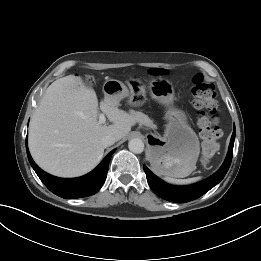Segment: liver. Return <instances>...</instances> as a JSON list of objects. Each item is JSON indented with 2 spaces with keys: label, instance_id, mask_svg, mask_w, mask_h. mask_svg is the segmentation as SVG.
Returning <instances> with one entry per match:
<instances>
[{
  "label": "liver",
  "instance_id": "obj_1",
  "mask_svg": "<svg viewBox=\"0 0 261 261\" xmlns=\"http://www.w3.org/2000/svg\"><path fill=\"white\" fill-rule=\"evenodd\" d=\"M100 109L112 125L98 121L96 93L80 77L54 81L30 121L28 144L35 162L60 177H77L94 169L104 154L101 138L113 135L119 141L137 122L107 98Z\"/></svg>",
  "mask_w": 261,
  "mask_h": 261
}]
</instances>
